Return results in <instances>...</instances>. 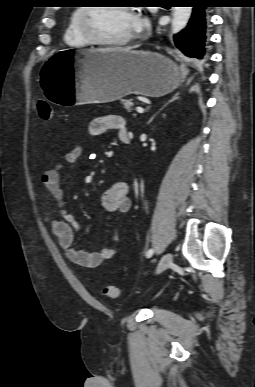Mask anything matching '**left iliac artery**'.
I'll use <instances>...</instances> for the list:
<instances>
[{
  "mask_svg": "<svg viewBox=\"0 0 255 387\" xmlns=\"http://www.w3.org/2000/svg\"><path fill=\"white\" fill-rule=\"evenodd\" d=\"M153 249H149L147 252H146V257L147 258H150L152 255H153Z\"/></svg>",
  "mask_w": 255,
  "mask_h": 387,
  "instance_id": "left-iliac-artery-1",
  "label": "left iliac artery"
}]
</instances>
